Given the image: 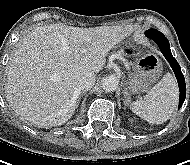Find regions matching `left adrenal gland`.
I'll return each instance as SVG.
<instances>
[{
  "label": "left adrenal gland",
  "instance_id": "left-adrenal-gland-1",
  "mask_svg": "<svg viewBox=\"0 0 190 165\" xmlns=\"http://www.w3.org/2000/svg\"><path fill=\"white\" fill-rule=\"evenodd\" d=\"M123 92H124V98H125V105L129 106V104H130V96H129V93H128L126 87L124 88Z\"/></svg>",
  "mask_w": 190,
  "mask_h": 165
}]
</instances>
